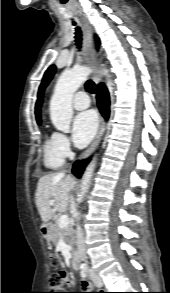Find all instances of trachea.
Wrapping results in <instances>:
<instances>
[{
    "label": "trachea",
    "mask_w": 170,
    "mask_h": 293,
    "mask_svg": "<svg viewBox=\"0 0 170 293\" xmlns=\"http://www.w3.org/2000/svg\"><path fill=\"white\" fill-rule=\"evenodd\" d=\"M73 25H76L75 22H73ZM76 32H75V41H76V45H77V48L80 49L81 48V41H82V32L80 30V27H76L75 28ZM85 89L86 91H88L89 93L93 94L95 93L96 91V86L94 84L93 81L91 80H88L86 83H85Z\"/></svg>",
    "instance_id": "3493384b"
}]
</instances>
